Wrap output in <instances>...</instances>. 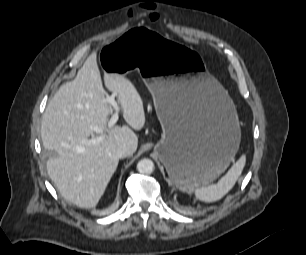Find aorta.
I'll return each instance as SVG.
<instances>
[{
	"mask_svg": "<svg viewBox=\"0 0 306 255\" xmlns=\"http://www.w3.org/2000/svg\"><path fill=\"white\" fill-rule=\"evenodd\" d=\"M137 170L141 174H151L154 171V163L150 159H142L137 164Z\"/></svg>",
	"mask_w": 306,
	"mask_h": 255,
	"instance_id": "1",
	"label": "aorta"
}]
</instances>
